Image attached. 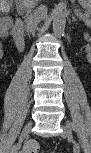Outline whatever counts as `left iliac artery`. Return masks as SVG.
<instances>
[{"label":"left iliac artery","mask_w":91,"mask_h":153,"mask_svg":"<svg viewBox=\"0 0 91 153\" xmlns=\"http://www.w3.org/2000/svg\"><path fill=\"white\" fill-rule=\"evenodd\" d=\"M67 127H68L69 143H72L73 149L77 150V151H73V153H79V150H80L79 143H78V140H75V137L73 136L74 134V129H72L73 126H67Z\"/></svg>","instance_id":"44dca946"}]
</instances>
